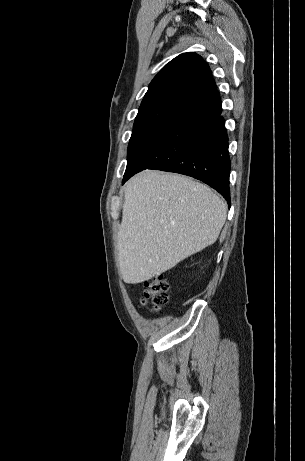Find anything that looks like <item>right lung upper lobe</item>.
I'll return each instance as SVG.
<instances>
[{"mask_svg": "<svg viewBox=\"0 0 305 461\" xmlns=\"http://www.w3.org/2000/svg\"><path fill=\"white\" fill-rule=\"evenodd\" d=\"M215 92L217 87L207 63L196 53H183L154 77L139 109L160 105L190 108Z\"/></svg>", "mask_w": 305, "mask_h": 461, "instance_id": "obj_1", "label": "right lung upper lobe"}]
</instances>
